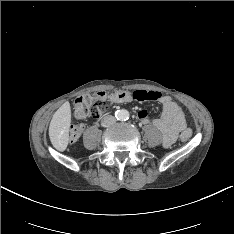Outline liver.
Instances as JSON below:
<instances>
[{"label": "liver", "instance_id": "obj_1", "mask_svg": "<svg viewBox=\"0 0 234 234\" xmlns=\"http://www.w3.org/2000/svg\"><path fill=\"white\" fill-rule=\"evenodd\" d=\"M71 124V109L69 102H65L54 113L49 125V138L55 149L64 151L69 142Z\"/></svg>", "mask_w": 234, "mask_h": 234}]
</instances>
